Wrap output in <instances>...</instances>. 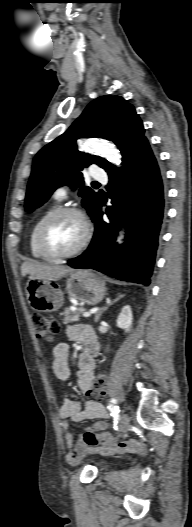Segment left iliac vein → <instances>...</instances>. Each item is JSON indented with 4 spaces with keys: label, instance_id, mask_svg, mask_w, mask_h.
<instances>
[{
    "label": "left iliac vein",
    "instance_id": "obj_1",
    "mask_svg": "<svg viewBox=\"0 0 192 527\" xmlns=\"http://www.w3.org/2000/svg\"><path fill=\"white\" fill-rule=\"evenodd\" d=\"M129 422H130L129 416L126 413H123L121 415V418H120V424H119L120 434H119V436L123 435L127 431L128 427H129Z\"/></svg>",
    "mask_w": 192,
    "mask_h": 527
}]
</instances>
